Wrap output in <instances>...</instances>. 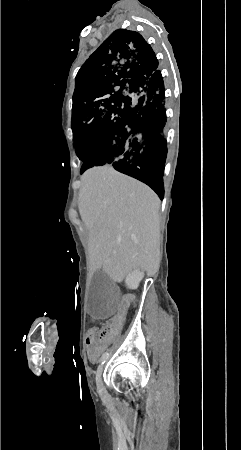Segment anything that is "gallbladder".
I'll list each match as a JSON object with an SVG mask.
<instances>
[{
    "mask_svg": "<svg viewBox=\"0 0 241 450\" xmlns=\"http://www.w3.org/2000/svg\"><path fill=\"white\" fill-rule=\"evenodd\" d=\"M120 293L116 281L102 270L95 272L89 287L86 309L97 320H110L119 309Z\"/></svg>",
    "mask_w": 241,
    "mask_h": 450,
    "instance_id": "gallbladder-1",
    "label": "gallbladder"
}]
</instances>
